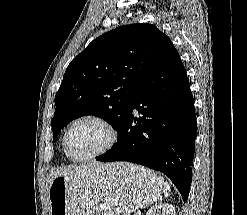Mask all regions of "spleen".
<instances>
[{
    "mask_svg": "<svg viewBox=\"0 0 247 215\" xmlns=\"http://www.w3.org/2000/svg\"><path fill=\"white\" fill-rule=\"evenodd\" d=\"M170 191L171 190H170L169 184L167 182H164L163 181V192H164L165 197H168L169 196Z\"/></svg>",
    "mask_w": 247,
    "mask_h": 215,
    "instance_id": "spleen-1",
    "label": "spleen"
}]
</instances>
